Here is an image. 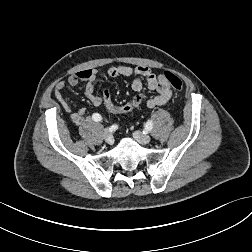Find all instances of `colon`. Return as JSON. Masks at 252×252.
Here are the masks:
<instances>
[{
	"label": "colon",
	"instance_id": "obj_1",
	"mask_svg": "<svg viewBox=\"0 0 252 252\" xmlns=\"http://www.w3.org/2000/svg\"><path fill=\"white\" fill-rule=\"evenodd\" d=\"M160 76L166 80V82L175 90H180L182 88L181 79L171 73L164 72L160 74ZM101 106L109 113L119 114V115H127L134 112L141 104L142 97L140 94H134L128 101L126 102H116L112 96L110 95L107 89H103L101 93Z\"/></svg>",
	"mask_w": 252,
	"mask_h": 252
}]
</instances>
